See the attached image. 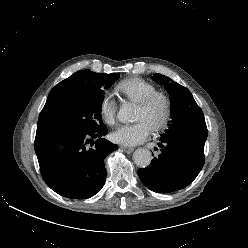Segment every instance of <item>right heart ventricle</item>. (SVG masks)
I'll use <instances>...</instances> for the list:
<instances>
[{
    "label": "right heart ventricle",
    "instance_id": "1",
    "mask_svg": "<svg viewBox=\"0 0 248 248\" xmlns=\"http://www.w3.org/2000/svg\"><path fill=\"white\" fill-rule=\"evenodd\" d=\"M116 90L124 98L135 103H139L148 96L158 92L155 85L141 78L124 80L117 85Z\"/></svg>",
    "mask_w": 248,
    "mask_h": 248
}]
</instances>
